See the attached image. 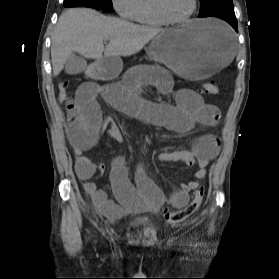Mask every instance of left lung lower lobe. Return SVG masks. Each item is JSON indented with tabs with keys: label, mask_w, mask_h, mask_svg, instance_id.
<instances>
[{
	"label": "left lung lower lobe",
	"mask_w": 279,
	"mask_h": 279,
	"mask_svg": "<svg viewBox=\"0 0 279 279\" xmlns=\"http://www.w3.org/2000/svg\"><path fill=\"white\" fill-rule=\"evenodd\" d=\"M212 17H217V18L225 20L235 29L236 32H238L237 19H236L234 11L216 13V14L212 15Z\"/></svg>",
	"instance_id": "1"
}]
</instances>
